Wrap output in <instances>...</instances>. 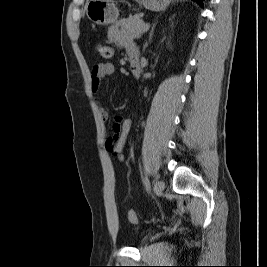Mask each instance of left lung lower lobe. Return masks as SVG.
Masks as SVG:
<instances>
[{"label":"left lung lower lobe","mask_w":267,"mask_h":267,"mask_svg":"<svg viewBox=\"0 0 267 267\" xmlns=\"http://www.w3.org/2000/svg\"><path fill=\"white\" fill-rule=\"evenodd\" d=\"M193 1L197 2L201 6L203 5V0H193Z\"/></svg>","instance_id":"1"}]
</instances>
